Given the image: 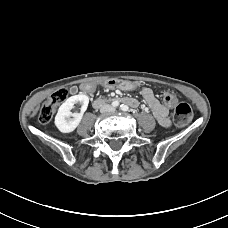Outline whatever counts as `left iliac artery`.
<instances>
[{"label": "left iliac artery", "mask_w": 228, "mask_h": 228, "mask_svg": "<svg viewBox=\"0 0 228 228\" xmlns=\"http://www.w3.org/2000/svg\"><path fill=\"white\" fill-rule=\"evenodd\" d=\"M120 109H121L122 111H128V106L122 104V105L120 106Z\"/></svg>", "instance_id": "left-iliac-artery-1"}]
</instances>
